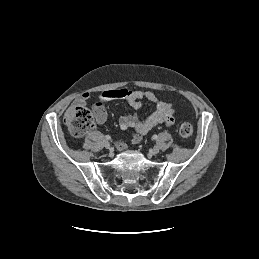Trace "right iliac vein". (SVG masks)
<instances>
[{"label": "right iliac vein", "instance_id": "obj_1", "mask_svg": "<svg viewBox=\"0 0 259 259\" xmlns=\"http://www.w3.org/2000/svg\"><path fill=\"white\" fill-rule=\"evenodd\" d=\"M104 146H105L106 149H110L111 148V145H110V143L108 141L104 142Z\"/></svg>", "mask_w": 259, "mask_h": 259}]
</instances>
